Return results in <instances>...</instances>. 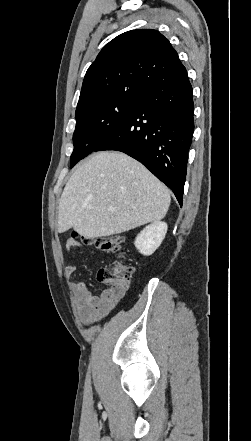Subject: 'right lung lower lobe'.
Wrapping results in <instances>:
<instances>
[{
    "label": "right lung lower lobe",
    "instance_id": "right-lung-lower-lobe-1",
    "mask_svg": "<svg viewBox=\"0 0 251 441\" xmlns=\"http://www.w3.org/2000/svg\"><path fill=\"white\" fill-rule=\"evenodd\" d=\"M192 93L185 68L155 83L94 151H121L138 160L174 192L182 205L194 131Z\"/></svg>",
    "mask_w": 251,
    "mask_h": 441
}]
</instances>
